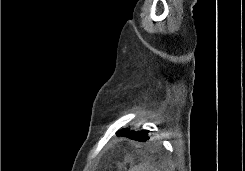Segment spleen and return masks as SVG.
<instances>
[{"mask_svg": "<svg viewBox=\"0 0 245 171\" xmlns=\"http://www.w3.org/2000/svg\"><path fill=\"white\" fill-rule=\"evenodd\" d=\"M129 171H160L155 166L149 163H141L138 166H134Z\"/></svg>", "mask_w": 245, "mask_h": 171, "instance_id": "obj_1", "label": "spleen"}]
</instances>
